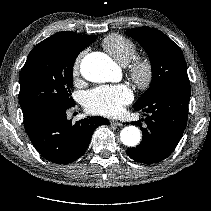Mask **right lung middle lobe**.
<instances>
[{
  "label": "right lung middle lobe",
  "instance_id": "dd1d6c3e",
  "mask_svg": "<svg viewBox=\"0 0 211 211\" xmlns=\"http://www.w3.org/2000/svg\"><path fill=\"white\" fill-rule=\"evenodd\" d=\"M79 53L80 50L57 51L44 41L32 49L20 74L19 103L23 115L46 105L74 104L70 90Z\"/></svg>",
  "mask_w": 211,
  "mask_h": 211
}]
</instances>
